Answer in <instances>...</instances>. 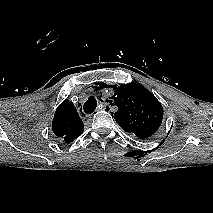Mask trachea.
Returning <instances> with one entry per match:
<instances>
[{
    "mask_svg": "<svg viewBox=\"0 0 213 213\" xmlns=\"http://www.w3.org/2000/svg\"><path fill=\"white\" fill-rule=\"evenodd\" d=\"M96 107H97V100L93 96H91L85 102L83 109L85 113L91 114L95 111Z\"/></svg>",
    "mask_w": 213,
    "mask_h": 213,
    "instance_id": "1",
    "label": "trachea"
}]
</instances>
